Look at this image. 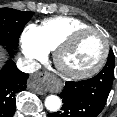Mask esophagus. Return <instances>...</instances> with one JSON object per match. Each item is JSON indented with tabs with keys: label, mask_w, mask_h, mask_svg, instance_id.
<instances>
[{
	"label": "esophagus",
	"mask_w": 117,
	"mask_h": 117,
	"mask_svg": "<svg viewBox=\"0 0 117 117\" xmlns=\"http://www.w3.org/2000/svg\"><path fill=\"white\" fill-rule=\"evenodd\" d=\"M29 86L41 95L45 94L47 91H57L58 89L52 76L47 72L34 74L29 81Z\"/></svg>",
	"instance_id": "esophagus-1"
}]
</instances>
